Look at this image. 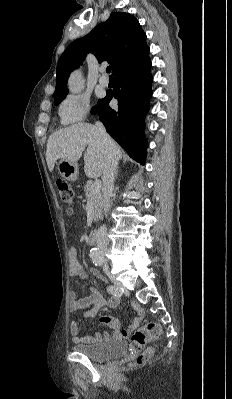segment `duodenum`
Returning a JSON list of instances; mask_svg holds the SVG:
<instances>
[{
	"mask_svg": "<svg viewBox=\"0 0 232 399\" xmlns=\"http://www.w3.org/2000/svg\"><path fill=\"white\" fill-rule=\"evenodd\" d=\"M87 239H88V242H89L90 244H95L96 241H97V230H91V231L89 232V234H88Z\"/></svg>",
	"mask_w": 232,
	"mask_h": 399,
	"instance_id": "410a0bca",
	"label": "duodenum"
}]
</instances>
